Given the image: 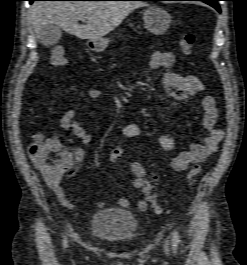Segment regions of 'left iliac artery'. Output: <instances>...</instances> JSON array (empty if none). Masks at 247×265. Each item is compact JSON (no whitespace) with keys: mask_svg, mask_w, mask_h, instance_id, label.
<instances>
[{"mask_svg":"<svg viewBox=\"0 0 247 265\" xmlns=\"http://www.w3.org/2000/svg\"><path fill=\"white\" fill-rule=\"evenodd\" d=\"M172 236H173V239H172V246H173V249L176 251L177 249V246L180 242V239H179V234L178 232L175 230L173 233H172Z\"/></svg>","mask_w":247,"mask_h":265,"instance_id":"44dca946","label":"left iliac artery"}]
</instances>
